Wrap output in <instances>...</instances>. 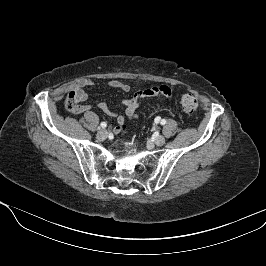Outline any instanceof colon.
Segmentation results:
<instances>
[{
	"instance_id": "obj_1",
	"label": "colon",
	"mask_w": 266,
	"mask_h": 266,
	"mask_svg": "<svg viewBox=\"0 0 266 266\" xmlns=\"http://www.w3.org/2000/svg\"><path fill=\"white\" fill-rule=\"evenodd\" d=\"M179 103L181 107L183 108V110L186 112H194L196 111L198 107L197 99L193 95L187 94V93L179 94ZM65 105H66V108L70 111H72L75 108V106L77 105V95L75 92L72 91L67 96ZM126 129H127V125L122 124L121 131H125Z\"/></svg>"
}]
</instances>
